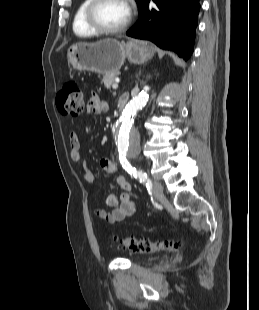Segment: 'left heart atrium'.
<instances>
[{"label":"left heart atrium","instance_id":"39dd6f15","mask_svg":"<svg viewBox=\"0 0 259 310\" xmlns=\"http://www.w3.org/2000/svg\"><path fill=\"white\" fill-rule=\"evenodd\" d=\"M125 4H126L127 11H128V14H129L131 12V7H130L128 2H125Z\"/></svg>","mask_w":259,"mask_h":310}]
</instances>
